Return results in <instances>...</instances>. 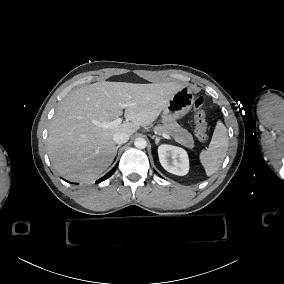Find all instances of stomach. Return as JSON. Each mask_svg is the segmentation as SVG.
<instances>
[{
  "label": "stomach",
  "instance_id": "0dacf381",
  "mask_svg": "<svg viewBox=\"0 0 284 284\" xmlns=\"http://www.w3.org/2000/svg\"><path fill=\"white\" fill-rule=\"evenodd\" d=\"M194 104V97L188 87H183L177 91L168 101L162 117L163 120L170 118L172 120L181 119L186 116Z\"/></svg>",
  "mask_w": 284,
  "mask_h": 284
}]
</instances>
